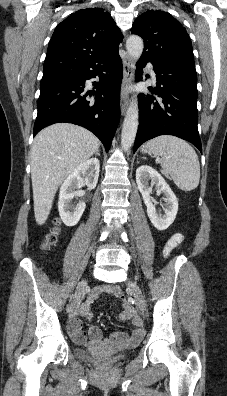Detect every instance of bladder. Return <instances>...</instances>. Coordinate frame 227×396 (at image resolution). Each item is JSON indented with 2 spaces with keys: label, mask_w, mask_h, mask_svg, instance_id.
<instances>
[{
  "label": "bladder",
  "mask_w": 227,
  "mask_h": 396,
  "mask_svg": "<svg viewBox=\"0 0 227 396\" xmlns=\"http://www.w3.org/2000/svg\"><path fill=\"white\" fill-rule=\"evenodd\" d=\"M74 355L78 360L96 366H110L124 359V355L122 354L96 355L81 348H76Z\"/></svg>",
  "instance_id": "31cf9c89"
}]
</instances>
